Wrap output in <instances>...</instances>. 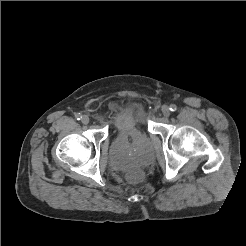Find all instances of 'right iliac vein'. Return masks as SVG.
Listing matches in <instances>:
<instances>
[{
	"mask_svg": "<svg viewBox=\"0 0 246 246\" xmlns=\"http://www.w3.org/2000/svg\"><path fill=\"white\" fill-rule=\"evenodd\" d=\"M89 121H90V118H89V116H87V115H83L82 116V118H81V122L83 123V124H88L89 123Z\"/></svg>",
	"mask_w": 246,
	"mask_h": 246,
	"instance_id": "right-iliac-vein-1",
	"label": "right iliac vein"
}]
</instances>
